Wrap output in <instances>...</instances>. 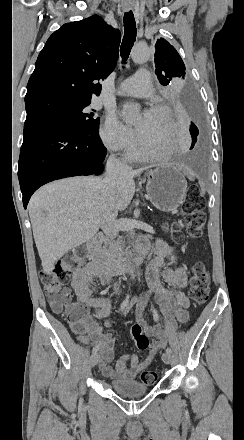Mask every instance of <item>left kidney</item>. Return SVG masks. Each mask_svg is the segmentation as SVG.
Wrapping results in <instances>:
<instances>
[{"mask_svg": "<svg viewBox=\"0 0 244 440\" xmlns=\"http://www.w3.org/2000/svg\"><path fill=\"white\" fill-rule=\"evenodd\" d=\"M170 260H172V262H170V264H173V260H175L174 256H171Z\"/></svg>", "mask_w": 244, "mask_h": 440, "instance_id": "obj_1", "label": "left kidney"}]
</instances>
